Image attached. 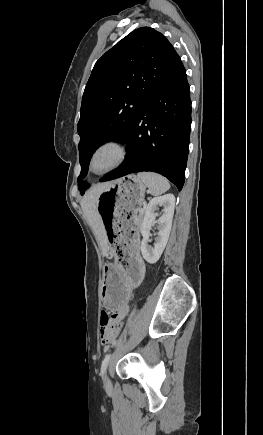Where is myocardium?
<instances>
[{"instance_id": "f54148a6", "label": "myocardium", "mask_w": 263, "mask_h": 435, "mask_svg": "<svg viewBox=\"0 0 263 435\" xmlns=\"http://www.w3.org/2000/svg\"><path fill=\"white\" fill-rule=\"evenodd\" d=\"M105 148H113L117 152L116 161L103 171L96 172L93 170V161L96 155ZM128 148L124 142L116 138H108L99 142L91 151L88 159V170L91 174L102 176L119 168L127 159Z\"/></svg>"}]
</instances>
